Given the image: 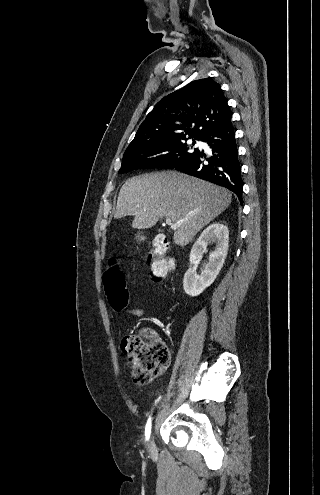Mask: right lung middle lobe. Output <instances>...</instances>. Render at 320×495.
<instances>
[{"label":"right lung middle lobe","instance_id":"dd1d6c3e","mask_svg":"<svg viewBox=\"0 0 320 495\" xmlns=\"http://www.w3.org/2000/svg\"><path fill=\"white\" fill-rule=\"evenodd\" d=\"M187 139L160 144L141 145L126 150L123 156L120 173L135 169L174 168L186 161L197 152H189L193 147H188L184 142ZM198 140L199 138H193ZM195 144V141H193Z\"/></svg>","mask_w":320,"mask_h":495}]
</instances>
